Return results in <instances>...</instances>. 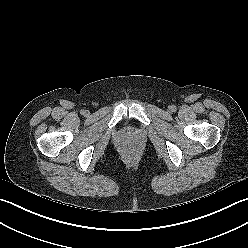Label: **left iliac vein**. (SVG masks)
<instances>
[{"label":"left iliac vein","instance_id":"left-iliac-vein-1","mask_svg":"<svg viewBox=\"0 0 248 248\" xmlns=\"http://www.w3.org/2000/svg\"><path fill=\"white\" fill-rule=\"evenodd\" d=\"M168 110L171 112L172 111V106L168 107Z\"/></svg>","mask_w":248,"mask_h":248}]
</instances>
